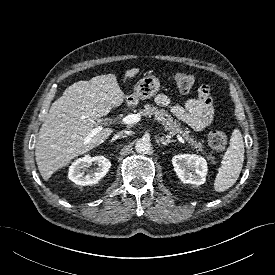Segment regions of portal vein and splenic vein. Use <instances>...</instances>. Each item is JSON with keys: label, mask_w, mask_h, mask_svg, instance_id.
Wrapping results in <instances>:
<instances>
[{"label": "portal vein and splenic vein", "mask_w": 275, "mask_h": 275, "mask_svg": "<svg viewBox=\"0 0 275 275\" xmlns=\"http://www.w3.org/2000/svg\"><path fill=\"white\" fill-rule=\"evenodd\" d=\"M140 117H141V114H139V113H138V114H129V115L123 117V118L119 121V123L132 125V124L137 123V122L140 120ZM88 120H89L92 124H94V125L97 126L95 129H93V131H92L90 137H92L93 135L99 133V132L103 129V126H102V125H99L98 123H96V121H95L94 119L88 118ZM157 120H158V119H157ZM90 137H87L86 142H89V141H90ZM167 137L170 138L171 136L168 135ZM178 140H179L181 143H183V144L185 143L184 139H183L182 137H180V136H178Z\"/></svg>", "instance_id": "1"}]
</instances>
